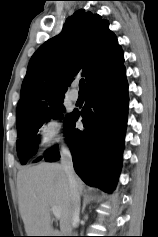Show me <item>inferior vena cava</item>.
Masks as SVG:
<instances>
[{
    "mask_svg": "<svg viewBox=\"0 0 158 237\" xmlns=\"http://www.w3.org/2000/svg\"><path fill=\"white\" fill-rule=\"evenodd\" d=\"M61 165L66 173L70 198H71V223L74 227L79 220L80 212V190L76 181V176L73 168L72 155L70 149L63 145L61 149Z\"/></svg>",
    "mask_w": 158,
    "mask_h": 237,
    "instance_id": "obj_1",
    "label": "inferior vena cava"
}]
</instances>
